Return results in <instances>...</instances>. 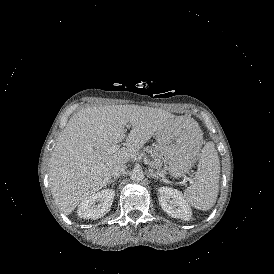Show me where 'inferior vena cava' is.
<instances>
[{"mask_svg": "<svg viewBox=\"0 0 274 274\" xmlns=\"http://www.w3.org/2000/svg\"><path fill=\"white\" fill-rule=\"evenodd\" d=\"M126 171V165L125 164H120L116 165L112 171V177L113 178H118L122 176Z\"/></svg>", "mask_w": 274, "mask_h": 274, "instance_id": "obj_1", "label": "inferior vena cava"}]
</instances>
